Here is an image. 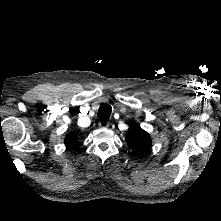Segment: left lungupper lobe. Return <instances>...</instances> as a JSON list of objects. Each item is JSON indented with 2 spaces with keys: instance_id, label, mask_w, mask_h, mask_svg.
<instances>
[{
  "instance_id": "1",
  "label": "left lung upper lobe",
  "mask_w": 221,
  "mask_h": 221,
  "mask_svg": "<svg viewBox=\"0 0 221 221\" xmlns=\"http://www.w3.org/2000/svg\"><path fill=\"white\" fill-rule=\"evenodd\" d=\"M128 147L134 155H143L151 147L152 140L150 135L137 125H131L129 132L126 134Z\"/></svg>"
}]
</instances>
